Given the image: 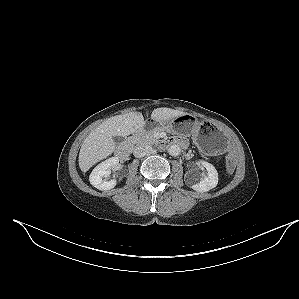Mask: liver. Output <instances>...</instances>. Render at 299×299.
<instances>
[{
    "mask_svg": "<svg viewBox=\"0 0 299 299\" xmlns=\"http://www.w3.org/2000/svg\"><path fill=\"white\" fill-rule=\"evenodd\" d=\"M182 115H185V113L164 107L154 109L151 119L155 122H160ZM144 125V117L140 112L116 115L102 122L83 141L79 152V167L81 171L87 172L93 165L115 151L116 144L113 136L126 137L134 132H142Z\"/></svg>",
    "mask_w": 299,
    "mask_h": 299,
    "instance_id": "obj_1",
    "label": "liver"
}]
</instances>
